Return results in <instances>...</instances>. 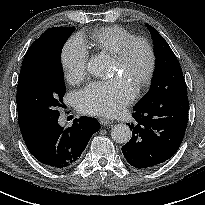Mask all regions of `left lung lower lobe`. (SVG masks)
I'll return each instance as SVG.
<instances>
[{
    "mask_svg": "<svg viewBox=\"0 0 205 205\" xmlns=\"http://www.w3.org/2000/svg\"><path fill=\"white\" fill-rule=\"evenodd\" d=\"M129 124L132 138L122 147L127 162L138 169L155 167L179 148L188 122L187 87L135 107Z\"/></svg>",
    "mask_w": 205,
    "mask_h": 205,
    "instance_id": "obj_1",
    "label": "left lung lower lobe"
}]
</instances>
